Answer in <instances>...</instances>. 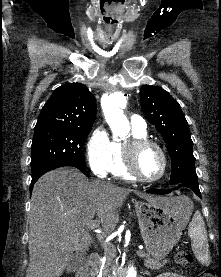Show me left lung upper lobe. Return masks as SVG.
I'll return each mask as SVG.
<instances>
[{"label": "left lung upper lobe", "instance_id": "5c2ea615", "mask_svg": "<svg viewBox=\"0 0 221 277\" xmlns=\"http://www.w3.org/2000/svg\"><path fill=\"white\" fill-rule=\"evenodd\" d=\"M141 109L163 136L172 159L169 183L198 184L190 130L179 103L161 87L143 85Z\"/></svg>", "mask_w": 221, "mask_h": 277}]
</instances>
